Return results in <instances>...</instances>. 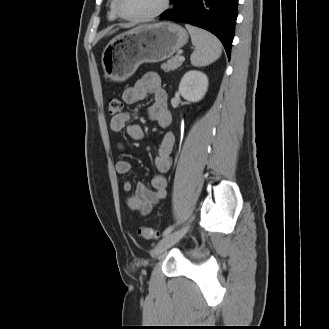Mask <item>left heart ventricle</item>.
<instances>
[{
    "label": "left heart ventricle",
    "instance_id": "b2bd125f",
    "mask_svg": "<svg viewBox=\"0 0 329 329\" xmlns=\"http://www.w3.org/2000/svg\"><path fill=\"white\" fill-rule=\"evenodd\" d=\"M163 0H120V8L127 16H143L158 10Z\"/></svg>",
    "mask_w": 329,
    "mask_h": 329
}]
</instances>
